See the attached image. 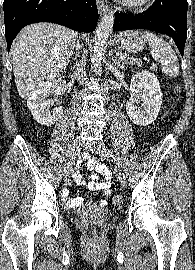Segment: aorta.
Returning <instances> with one entry per match:
<instances>
[{
    "label": "aorta",
    "mask_w": 195,
    "mask_h": 270,
    "mask_svg": "<svg viewBox=\"0 0 195 270\" xmlns=\"http://www.w3.org/2000/svg\"><path fill=\"white\" fill-rule=\"evenodd\" d=\"M113 26L114 16L112 13H107L102 17L96 29L92 63L94 65V71L98 76L101 75V61L104 59L107 41L113 31Z\"/></svg>",
    "instance_id": "aorta-1"
}]
</instances>
